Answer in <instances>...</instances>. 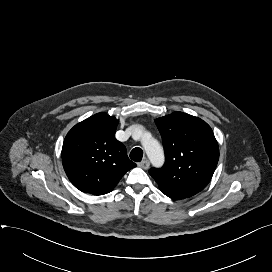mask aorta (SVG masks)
<instances>
[{
  "mask_svg": "<svg viewBox=\"0 0 272 272\" xmlns=\"http://www.w3.org/2000/svg\"><path fill=\"white\" fill-rule=\"evenodd\" d=\"M142 145L145 152L154 166H160L164 162V152L160 143L151 137L149 133H143Z\"/></svg>",
  "mask_w": 272,
  "mask_h": 272,
  "instance_id": "aorta-1",
  "label": "aorta"
}]
</instances>
